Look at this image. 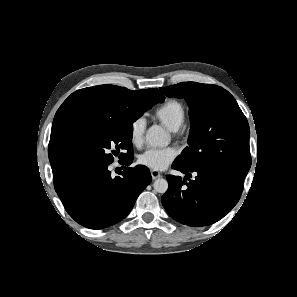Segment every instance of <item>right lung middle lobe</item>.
<instances>
[{
  "label": "right lung middle lobe",
  "instance_id": "dd1d6c3e",
  "mask_svg": "<svg viewBox=\"0 0 297 297\" xmlns=\"http://www.w3.org/2000/svg\"><path fill=\"white\" fill-rule=\"evenodd\" d=\"M162 101L144 94L136 98L131 111L113 118H97L74 125L64 137L63 158L70 170L89 165L111 164L120 150V158L133 155V122L155 103Z\"/></svg>",
  "mask_w": 297,
  "mask_h": 297
}]
</instances>
